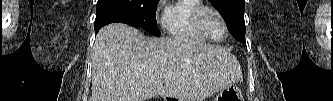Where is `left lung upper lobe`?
Here are the masks:
<instances>
[{
  "mask_svg": "<svg viewBox=\"0 0 333 101\" xmlns=\"http://www.w3.org/2000/svg\"><path fill=\"white\" fill-rule=\"evenodd\" d=\"M226 22L230 33L240 42H245V0H209Z\"/></svg>",
  "mask_w": 333,
  "mask_h": 101,
  "instance_id": "5c2ea615",
  "label": "left lung upper lobe"
}]
</instances>
